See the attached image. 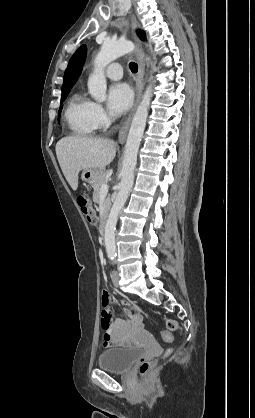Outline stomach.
Here are the masks:
<instances>
[{
  "instance_id": "obj_1",
  "label": "stomach",
  "mask_w": 255,
  "mask_h": 418,
  "mask_svg": "<svg viewBox=\"0 0 255 418\" xmlns=\"http://www.w3.org/2000/svg\"><path fill=\"white\" fill-rule=\"evenodd\" d=\"M101 172L102 170L99 169H84L81 173V178L84 182L94 185Z\"/></svg>"
}]
</instances>
